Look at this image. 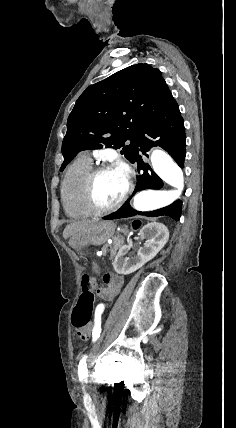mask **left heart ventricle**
Wrapping results in <instances>:
<instances>
[{"instance_id": "left-heart-ventricle-1", "label": "left heart ventricle", "mask_w": 236, "mask_h": 428, "mask_svg": "<svg viewBox=\"0 0 236 428\" xmlns=\"http://www.w3.org/2000/svg\"><path fill=\"white\" fill-rule=\"evenodd\" d=\"M128 186V178L125 172L112 169L103 173L96 181L95 194L98 201L109 205L122 198Z\"/></svg>"}]
</instances>
